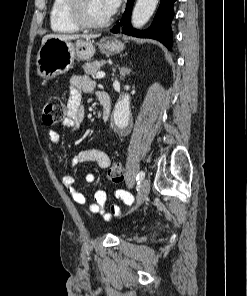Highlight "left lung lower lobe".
<instances>
[{"label":"left lung lower lobe","mask_w":247,"mask_h":296,"mask_svg":"<svg viewBox=\"0 0 247 296\" xmlns=\"http://www.w3.org/2000/svg\"><path fill=\"white\" fill-rule=\"evenodd\" d=\"M175 1L176 0H161L151 27L147 30L139 31L131 28L130 17L134 0H128L121 24L118 23L116 26H114L111 32L118 33L121 25L122 32L124 34L140 38L156 39L163 43L169 50H171L173 44L171 21L174 17L173 4Z\"/></svg>","instance_id":"1"}]
</instances>
